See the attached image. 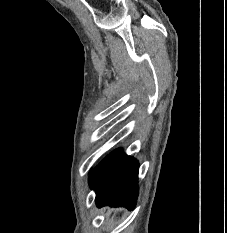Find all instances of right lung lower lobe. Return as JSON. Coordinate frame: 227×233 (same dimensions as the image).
I'll use <instances>...</instances> for the list:
<instances>
[{"label":"right lung lower lobe","instance_id":"98d812e1","mask_svg":"<svg viewBox=\"0 0 227 233\" xmlns=\"http://www.w3.org/2000/svg\"><path fill=\"white\" fill-rule=\"evenodd\" d=\"M138 168L136 159L117 149L94 168L89 184L96 191L97 207L110 205L133 209L138 196Z\"/></svg>","mask_w":227,"mask_h":233}]
</instances>
